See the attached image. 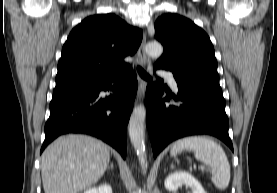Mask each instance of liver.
Masks as SVG:
<instances>
[{
	"mask_svg": "<svg viewBox=\"0 0 277 193\" xmlns=\"http://www.w3.org/2000/svg\"><path fill=\"white\" fill-rule=\"evenodd\" d=\"M110 160L109 147L94 137L69 134L43 152L41 175L45 193H79L94 185Z\"/></svg>",
	"mask_w": 277,
	"mask_h": 193,
	"instance_id": "liver-1",
	"label": "liver"
}]
</instances>
